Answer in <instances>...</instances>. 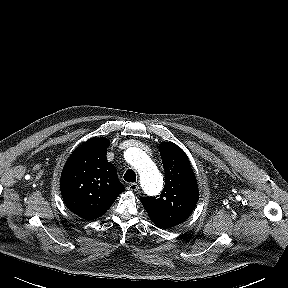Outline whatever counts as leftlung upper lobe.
<instances>
[{
	"mask_svg": "<svg viewBox=\"0 0 288 288\" xmlns=\"http://www.w3.org/2000/svg\"><path fill=\"white\" fill-rule=\"evenodd\" d=\"M165 171V186L157 197L140 200L150 219L160 228H171L184 222L199 198L197 182L188 157L174 143L159 147Z\"/></svg>",
	"mask_w": 288,
	"mask_h": 288,
	"instance_id": "1",
	"label": "left lung upper lobe"
}]
</instances>
